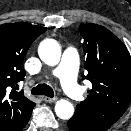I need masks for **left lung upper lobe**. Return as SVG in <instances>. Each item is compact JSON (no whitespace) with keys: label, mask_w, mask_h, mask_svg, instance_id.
I'll return each mask as SVG.
<instances>
[{"label":"left lung upper lobe","mask_w":131,"mask_h":131,"mask_svg":"<svg viewBox=\"0 0 131 131\" xmlns=\"http://www.w3.org/2000/svg\"><path fill=\"white\" fill-rule=\"evenodd\" d=\"M86 54V76L92 89L75 113L88 118L97 128L108 130L131 102V56L125 45L106 28L81 24Z\"/></svg>","instance_id":"5c2ea615"}]
</instances>
